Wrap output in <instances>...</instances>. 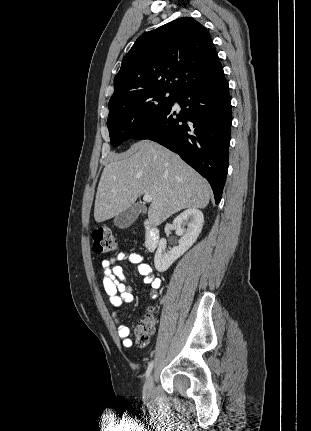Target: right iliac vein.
Listing matches in <instances>:
<instances>
[{
	"label": "right iliac vein",
	"mask_w": 311,
	"mask_h": 431,
	"mask_svg": "<svg viewBox=\"0 0 311 431\" xmlns=\"http://www.w3.org/2000/svg\"><path fill=\"white\" fill-rule=\"evenodd\" d=\"M153 386H154V378H153V375H150L144 385V389H143L144 399L148 400L151 397Z\"/></svg>",
	"instance_id": "right-iliac-vein-1"
}]
</instances>
